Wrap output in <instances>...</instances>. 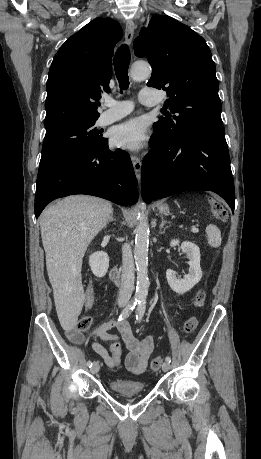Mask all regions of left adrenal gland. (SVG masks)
Wrapping results in <instances>:
<instances>
[{"label": "left adrenal gland", "mask_w": 261, "mask_h": 459, "mask_svg": "<svg viewBox=\"0 0 261 459\" xmlns=\"http://www.w3.org/2000/svg\"><path fill=\"white\" fill-rule=\"evenodd\" d=\"M165 224H170L169 221H166L163 216H161V224L159 226L160 230L164 227Z\"/></svg>", "instance_id": "obj_1"}]
</instances>
